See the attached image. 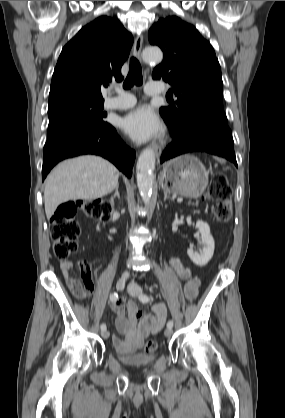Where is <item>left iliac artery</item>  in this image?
<instances>
[{
  "instance_id": "left-iliac-artery-1",
  "label": "left iliac artery",
  "mask_w": 285,
  "mask_h": 418,
  "mask_svg": "<svg viewBox=\"0 0 285 418\" xmlns=\"http://www.w3.org/2000/svg\"><path fill=\"white\" fill-rule=\"evenodd\" d=\"M139 299H140V301L141 302H143V303H147V302H149L150 301V297L149 296H147V295H140L139 296ZM167 327L168 328H172L173 327V322L170 320V321H168V323H167Z\"/></svg>"
}]
</instances>
